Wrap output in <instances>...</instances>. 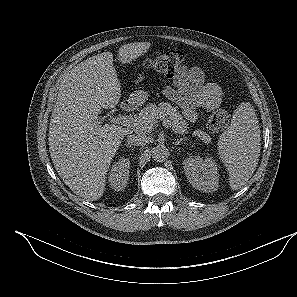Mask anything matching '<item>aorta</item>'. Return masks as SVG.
I'll return each mask as SVG.
<instances>
[{
	"label": "aorta",
	"instance_id": "762f6f07",
	"mask_svg": "<svg viewBox=\"0 0 297 297\" xmlns=\"http://www.w3.org/2000/svg\"><path fill=\"white\" fill-rule=\"evenodd\" d=\"M169 156V151L165 146H156L152 149V158L157 162L166 160Z\"/></svg>",
	"mask_w": 297,
	"mask_h": 297
}]
</instances>
